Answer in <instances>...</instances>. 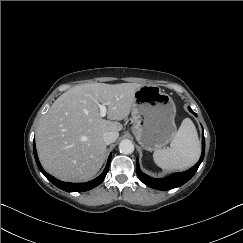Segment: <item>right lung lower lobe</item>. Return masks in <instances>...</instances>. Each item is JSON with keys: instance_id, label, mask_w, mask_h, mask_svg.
Listing matches in <instances>:
<instances>
[{"instance_id": "98d812e1", "label": "right lung lower lobe", "mask_w": 243, "mask_h": 243, "mask_svg": "<svg viewBox=\"0 0 243 243\" xmlns=\"http://www.w3.org/2000/svg\"><path fill=\"white\" fill-rule=\"evenodd\" d=\"M33 150H34V157L36 160V163L40 169V171L45 175V177L55 186H57L58 188L67 191V192H83V191H88L96 186H98L100 183H102V181L105 179L106 174L108 172L109 169V164H110V159H111V154L108 158L107 161V165L103 171V173L97 177L96 179L89 181L87 183H69V182H62L57 180L56 178H54L53 176H51L50 174H48L41 166L39 160H38V156H37V151H36V147H35V141H33Z\"/></svg>"}]
</instances>
